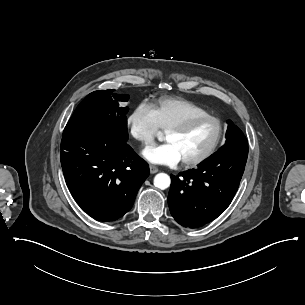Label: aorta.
<instances>
[{"label":"aorta","instance_id":"aorta-1","mask_svg":"<svg viewBox=\"0 0 305 305\" xmlns=\"http://www.w3.org/2000/svg\"><path fill=\"white\" fill-rule=\"evenodd\" d=\"M171 184L169 175L165 173H159L154 177V185L159 189H167Z\"/></svg>","mask_w":305,"mask_h":305}]
</instances>
